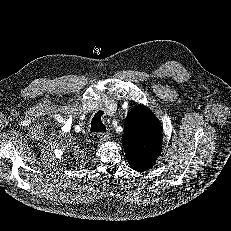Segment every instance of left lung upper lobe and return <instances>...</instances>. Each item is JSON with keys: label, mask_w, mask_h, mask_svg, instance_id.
<instances>
[{"label": "left lung upper lobe", "mask_w": 231, "mask_h": 231, "mask_svg": "<svg viewBox=\"0 0 231 231\" xmlns=\"http://www.w3.org/2000/svg\"><path fill=\"white\" fill-rule=\"evenodd\" d=\"M123 147L131 168L143 172L151 168L162 146L161 125L145 106L138 105L127 116Z\"/></svg>", "instance_id": "left-lung-upper-lobe-1"}]
</instances>
